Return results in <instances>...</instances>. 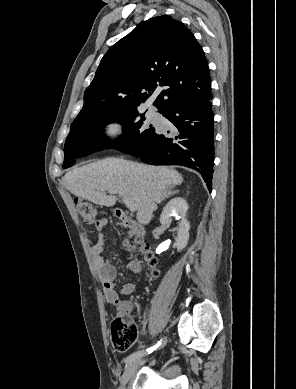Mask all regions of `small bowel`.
Instances as JSON below:
<instances>
[{
	"label": "small bowel",
	"instance_id": "1",
	"mask_svg": "<svg viewBox=\"0 0 296 389\" xmlns=\"http://www.w3.org/2000/svg\"><path fill=\"white\" fill-rule=\"evenodd\" d=\"M107 226V222L104 219L96 222V228L100 231L96 237L95 243L91 247V254L93 261L99 271L100 279L102 282L103 294L106 301L115 306L119 314H127L131 308L132 303L128 300H121L118 292L115 289L114 279L116 276V270L113 265L107 262L102 256L104 250V236L101 233ZM130 272L138 278L141 273V265L137 261H131L128 264ZM136 289V281H130L125 283L121 287V294L131 295Z\"/></svg>",
	"mask_w": 296,
	"mask_h": 389
}]
</instances>
